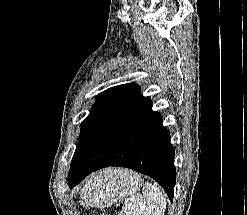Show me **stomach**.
Returning a JSON list of instances; mask_svg holds the SVG:
<instances>
[{
    "label": "stomach",
    "mask_w": 247,
    "mask_h": 215,
    "mask_svg": "<svg viewBox=\"0 0 247 215\" xmlns=\"http://www.w3.org/2000/svg\"><path fill=\"white\" fill-rule=\"evenodd\" d=\"M108 173L102 171L91 177L83 189V198L91 206L109 205L116 200L123 199L128 193L140 187L138 176L121 174L122 169Z\"/></svg>",
    "instance_id": "obj_1"
}]
</instances>
